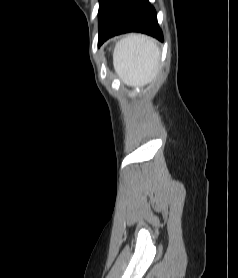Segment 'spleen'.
Listing matches in <instances>:
<instances>
[{"label":"spleen","mask_w":238,"mask_h":278,"mask_svg":"<svg viewBox=\"0 0 238 278\" xmlns=\"http://www.w3.org/2000/svg\"><path fill=\"white\" fill-rule=\"evenodd\" d=\"M160 50L154 39L129 34L115 48L113 65L117 75L129 86H142L157 74Z\"/></svg>","instance_id":"1"}]
</instances>
